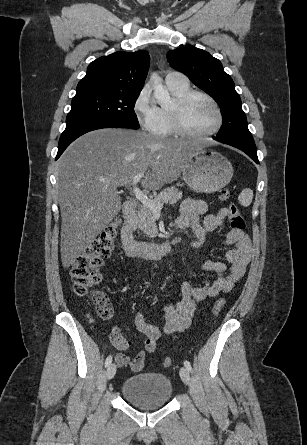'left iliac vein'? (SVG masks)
<instances>
[{
    "label": "left iliac vein",
    "mask_w": 307,
    "mask_h": 445,
    "mask_svg": "<svg viewBox=\"0 0 307 445\" xmlns=\"http://www.w3.org/2000/svg\"><path fill=\"white\" fill-rule=\"evenodd\" d=\"M180 377L186 385H188L190 383V374H189V371L185 367H181Z\"/></svg>",
    "instance_id": "4c4485c4"
}]
</instances>
